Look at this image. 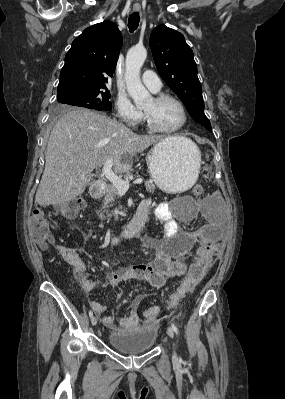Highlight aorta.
Instances as JSON below:
<instances>
[{
	"instance_id": "762f6f07",
	"label": "aorta",
	"mask_w": 285,
	"mask_h": 399,
	"mask_svg": "<svg viewBox=\"0 0 285 399\" xmlns=\"http://www.w3.org/2000/svg\"><path fill=\"white\" fill-rule=\"evenodd\" d=\"M147 57L144 47H132L126 56L125 81L128 94L137 107L143 106L151 99L150 93L140 80V70Z\"/></svg>"
}]
</instances>
